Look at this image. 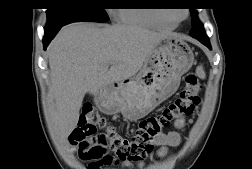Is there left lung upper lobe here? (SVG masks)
Returning a JSON list of instances; mask_svg holds the SVG:
<instances>
[{
  "label": "left lung upper lobe",
  "mask_w": 252,
  "mask_h": 169,
  "mask_svg": "<svg viewBox=\"0 0 252 169\" xmlns=\"http://www.w3.org/2000/svg\"><path fill=\"white\" fill-rule=\"evenodd\" d=\"M191 10V23H192V29L190 33H195L198 30H204V27L202 23L199 21L198 16H197V11L195 9H190Z\"/></svg>",
  "instance_id": "left-lung-upper-lobe-1"
}]
</instances>
